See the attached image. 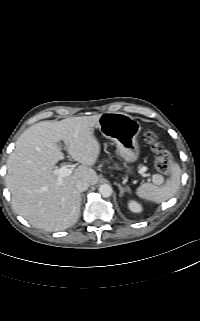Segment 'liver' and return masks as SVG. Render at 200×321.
I'll return each mask as SVG.
<instances>
[{
  "label": "liver",
  "mask_w": 200,
  "mask_h": 321,
  "mask_svg": "<svg viewBox=\"0 0 200 321\" xmlns=\"http://www.w3.org/2000/svg\"><path fill=\"white\" fill-rule=\"evenodd\" d=\"M101 115L71 117L58 122L41 121L25 130L7 161L6 185L13 209L32 226L60 231L74 225L80 215L81 195L76 182H98L91 168L100 144L94 128ZM82 165L58 182L55 165L64 158L58 143Z\"/></svg>",
  "instance_id": "1"
}]
</instances>
